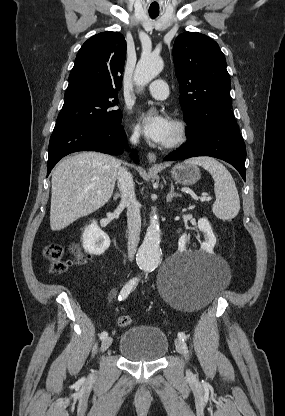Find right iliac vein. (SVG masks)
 Instances as JSON below:
<instances>
[{
    "label": "right iliac vein",
    "instance_id": "obj_1",
    "mask_svg": "<svg viewBox=\"0 0 285 416\" xmlns=\"http://www.w3.org/2000/svg\"><path fill=\"white\" fill-rule=\"evenodd\" d=\"M112 344V337H106L101 343L100 351L103 352L107 350Z\"/></svg>",
    "mask_w": 285,
    "mask_h": 416
}]
</instances>
